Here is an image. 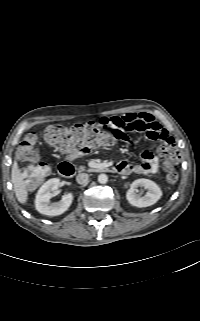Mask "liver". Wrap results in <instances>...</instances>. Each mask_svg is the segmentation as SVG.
I'll return each instance as SVG.
<instances>
[{"label": "liver", "instance_id": "obj_1", "mask_svg": "<svg viewBox=\"0 0 200 321\" xmlns=\"http://www.w3.org/2000/svg\"><path fill=\"white\" fill-rule=\"evenodd\" d=\"M11 182L13 183V188H14L17 200L21 204H25L28 199V192L26 189V184L23 180V175L19 170L18 163L16 160L12 165Z\"/></svg>", "mask_w": 200, "mask_h": 321}]
</instances>
